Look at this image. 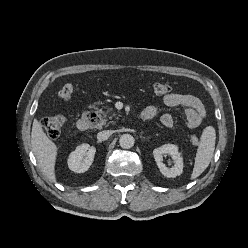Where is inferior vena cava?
I'll list each match as a JSON object with an SVG mask.
<instances>
[{
	"instance_id": "obj_1",
	"label": "inferior vena cava",
	"mask_w": 248,
	"mask_h": 248,
	"mask_svg": "<svg viewBox=\"0 0 248 248\" xmlns=\"http://www.w3.org/2000/svg\"><path fill=\"white\" fill-rule=\"evenodd\" d=\"M112 132L109 130L101 131L97 134V139L99 141H105L111 136Z\"/></svg>"
}]
</instances>
